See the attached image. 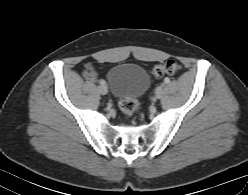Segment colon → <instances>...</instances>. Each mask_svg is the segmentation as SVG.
Wrapping results in <instances>:
<instances>
[{
	"instance_id": "5ec220e1",
	"label": "colon",
	"mask_w": 248,
	"mask_h": 195,
	"mask_svg": "<svg viewBox=\"0 0 248 195\" xmlns=\"http://www.w3.org/2000/svg\"><path fill=\"white\" fill-rule=\"evenodd\" d=\"M181 66L175 60H168L163 64L156 65L152 68L151 74L154 77H162L166 74L172 75L179 72ZM119 107L126 116H133L137 110V103L131 97H121Z\"/></svg>"
}]
</instances>
